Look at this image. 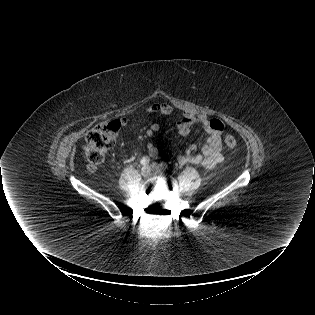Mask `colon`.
Instances as JSON below:
<instances>
[{"label":"colon","mask_w":315,"mask_h":315,"mask_svg":"<svg viewBox=\"0 0 315 315\" xmlns=\"http://www.w3.org/2000/svg\"><path fill=\"white\" fill-rule=\"evenodd\" d=\"M120 128L121 125L116 120L100 124L87 134L83 150L90 169H96L103 162L105 154L113 146ZM224 143L230 150L237 148V140L232 135H226Z\"/></svg>","instance_id":"5ec220e1"}]
</instances>
